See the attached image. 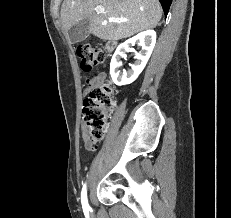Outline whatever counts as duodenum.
<instances>
[{"label": "duodenum", "mask_w": 231, "mask_h": 218, "mask_svg": "<svg viewBox=\"0 0 231 218\" xmlns=\"http://www.w3.org/2000/svg\"><path fill=\"white\" fill-rule=\"evenodd\" d=\"M115 46H116V43H115L114 41H109V42L107 43V48H108L109 50H113V49L115 48Z\"/></svg>", "instance_id": "duodenum-1"}]
</instances>
